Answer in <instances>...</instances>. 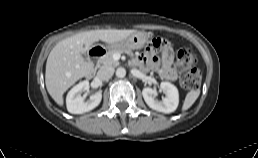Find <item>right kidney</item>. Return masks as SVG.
Masks as SVG:
<instances>
[{
  "mask_svg": "<svg viewBox=\"0 0 258 158\" xmlns=\"http://www.w3.org/2000/svg\"><path fill=\"white\" fill-rule=\"evenodd\" d=\"M89 89V82L87 80L82 81L75 85L67 94L66 106L68 112L72 114H82L89 112L96 108L102 99L101 92H97L90 96V99L85 102L84 97H82V91H87Z\"/></svg>",
  "mask_w": 258,
  "mask_h": 158,
  "instance_id": "1",
  "label": "right kidney"
}]
</instances>
